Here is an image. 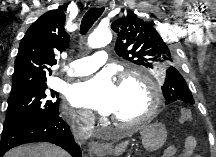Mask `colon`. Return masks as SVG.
<instances>
[{
    "label": "colon",
    "mask_w": 216,
    "mask_h": 157,
    "mask_svg": "<svg viewBox=\"0 0 216 157\" xmlns=\"http://www.w3.org/2000/svg\"><path fill=\"white\" fill-rule=\"evenodd\" d=\"M192 119V114L190 112V110L186 109V108H182L179 111V116H178V122L183 124V123H187L189 121H191Z\"/></svg>",
    "instance_id": "colon-1"
}]
</instances>
